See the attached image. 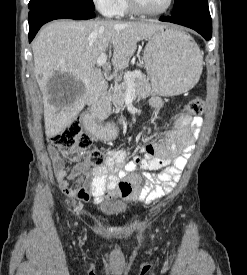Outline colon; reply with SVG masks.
Returning <instances> with one entry per match:
<instances>
[{"instance_id":"5ec220e1","label":"colon","mask_w":247,"mask_h":275,"mask_svg":"<svg viewBox=\"0 0 247 275\" xmlns=\"http://www.w3.org/2000/svg\"><path fill=\"white\" fill-rule=\"evenodd\" d=\"M190 115H200L204 110V102L200 98L190 100L185 108ZM50 143L60 149L65 156L73 161L85 158V152L91 147L92 140L82 127L80 120H74L68 127L50 138ZM87 160L92 165L100 167L104 163V156L98 149H91L87 155ZM131 190L128 184L121 183L119 192L127 194Z\"/></svg>"}]
</instances>
